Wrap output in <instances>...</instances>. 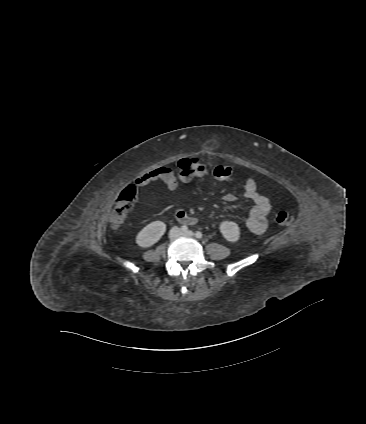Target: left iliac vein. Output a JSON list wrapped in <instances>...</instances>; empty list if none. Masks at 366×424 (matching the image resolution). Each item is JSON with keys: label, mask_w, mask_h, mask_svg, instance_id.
Listing matches in <instances>:
<instances>
[{"label": "left iliac vein", "mask_w": 366, "mask_h": 424, "mask_svg": "<svg viewBox=\"0 0 366 424\" xmlns=\"http://www.w3.org/2000/svg\"><path fill=\"white\" fill-rule=\"evenodd\" d=\"M181 235L185 236V237H193L194 233L189 230V231H186V232H182Z\"/></svg>", "instance_id": "4c4485c4"}]
</instances>
